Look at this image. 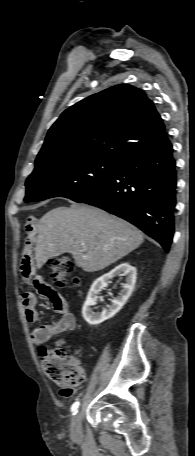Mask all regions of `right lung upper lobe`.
<instances>
[{
    "label": "right lung upper lobe",
    "mask_w": 195,
    "mask_h": 456,
    "mask_svg": "<svg viewBox=\"0 0 195 456\" xmlns=\"http://www.w3.org/2000/svg\"><path fill=\"white\" fill-rule=\"evenodd\" d=\"M163 121L145 93L123 84L65 110L47 133L35 165L61 158L121 162L169 143Z\"/></svg>",
    "instance_id": "1"
}]
</instances>
